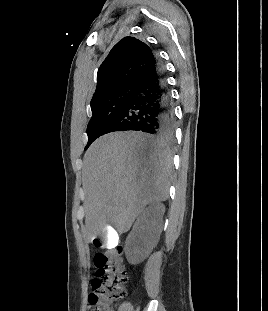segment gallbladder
Listing matches in <instances>:
<instances>
[{
    "mask_svg": "<svg viewBox=\"0 0 268 311\" xmlns=\"http://www.w3.org/2000/svg\"><path fill=\"white\" fill-rule=\"evenodd\" d=\"M101 237H102V246H105V249H114V246H117L118 233L116 232L115 227L105 226L103 228Z\"/></svg>",
    "mask_w": 268,
    "mask_h": 311,
    "instance_id": "bac80fb5",
    "label": "gallbladder"
}]
</instances>
